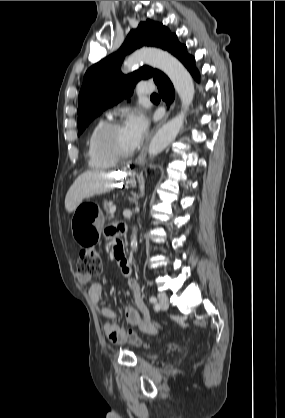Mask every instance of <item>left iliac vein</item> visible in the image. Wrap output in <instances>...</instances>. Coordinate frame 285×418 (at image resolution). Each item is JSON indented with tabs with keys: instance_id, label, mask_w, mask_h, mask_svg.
I'll list each match as a JSON object with an SVG mask.
<instances>
[{
	"instance_id": "left-iliac-vein-1",
	"label": "left iliac vein",
	"mask_w": 285,
	"mask_h": 418,
	"mask_svg": "<svg viewBox=\"0 0 285 418\" xmlns=\"http://www.w3.org/2000/svg\"><path fill=\"white\" fill-rule=\"evenodd\" d=\"M157 306L160 309H163V310H167L168 309L169 303H168V297L166 296V294H164V293H159L158 294V303H157Z\"/></svg>"
}]
</instances>
